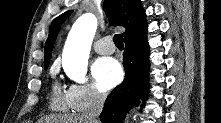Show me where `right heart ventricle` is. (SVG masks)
Returning <instances> with one entry per match:
<instances>
[{
    "label": "right heart ventricle",
    "mask_w": 221,
    "mask_h": 123,
    "mask_svg": "<svg viewBox=\"0 0 221 123\" xmlns=\"http://www.w3.org/2000/svg\"><path fill=\"white\" fill-rule=\"evenodd\" d=\"M71 108L67 99L66 92L54 83L51 88L50 109L58 112H67Z\"/></svg>",
    "instance_id": "right-heart-ventricle-1"
}]
</instances>
